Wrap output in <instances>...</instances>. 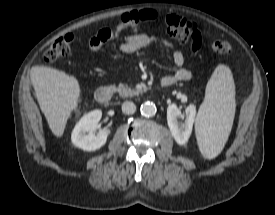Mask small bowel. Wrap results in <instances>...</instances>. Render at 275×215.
Segmentation results:
<instances>
[{"instance_id": "c3829d8e", "label": "small bowel", "mask_w": 275, "mask_h": 215, "mask_svg": "<svg viewBox=\"0 0 275 215\" xmlns=\"http://www.w3.org/2000/svg\"><path fill=\"white\" fill-rule=\"evenodd\" d=\"M123 24H117L111 27L101 29L93 36L88 43V50L95 51L103 44L112 41L115 42L121 55H130L142 48L152 45L156 42H161L165 47L172 51V59L177 66V70L173 75H166L162 78L163 81H168L171 84L176 81H187L191 78V71L184 66V57L181 51L176 49L175 45L168 39L148 35L146 33H138L125 38H119L117 33L123 30ZM202 36L198 33L193 39L192 52L195 54L201 47Z\"/></svg>"}]
</instances>
